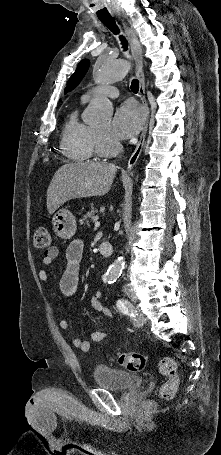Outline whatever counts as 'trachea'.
Wrapping results in <instances>:
<instances>
[{
	"label": "trachea",
	"instance_id": "1",
	"mask_svg": "<svg viewBox=\"0 0 221 455\" xmlns=\"http://www.w3.org/2000/svg\"><path fill=\"white\" fill-rule=\"evenodd\" d=\"M101 21L114 33L119 34V28L116 25V22L113 18H106L101 19ZM123 49L126 51L128 48V42L124 36H119ZM132 92L137 93L139 90V81L137 79H133L130 86Z\"/></svg>",
	"mask_w": 221,
	"mask_h": 455
}]
</instances>
